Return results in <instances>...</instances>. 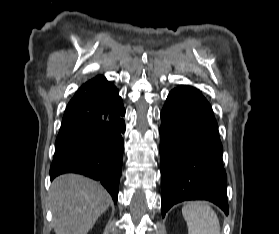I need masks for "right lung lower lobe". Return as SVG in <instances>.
I'll list each match as a JSON object with an SVG mask.
<instances>
[{
	"mask_svg": "<svg viewBox=\"0 0 279 234\" xmlns=\"http://www.w3.org/2000/svg\"><path fill=\"white\" fill-rule=\"evenodd\" d=\"M125 109L117 88L105 77L83 84L65 110L50 168L53 180L80 173L101 182L118 199Z\"/></svg>",
	"mask_w": 279,
	"mask_h": 234,
	"instance_id": "1",
	"label": "right lung lower lobe"
}]
</instances>
